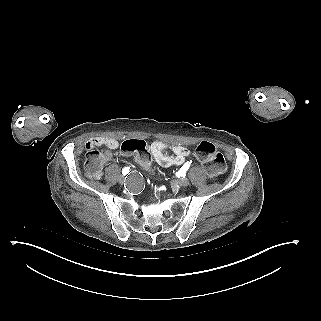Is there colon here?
<instances>
[{"label": "colon", "instance_id": "obj_1", "mask_svg": "<svg viewBox=\"0 0 321 321\" xmlns=\"http://www.w3.org/2000/svg\"><path fill=\"white\" fill-rule=\"evenodd\" d=\"M121 150L126 154H134L144 168L150 169L149 150L144 141L138 139L126 140L122 143ZM196 157L210 177H217L226 169L223 154L209 141H202L198 144ZM103 161L104 156L101 151L89 149L85 160V170L88 176L96 177L101 172Z\"/></svg>", "mask_w": 321, "mask_h": 321}]
</instances>
